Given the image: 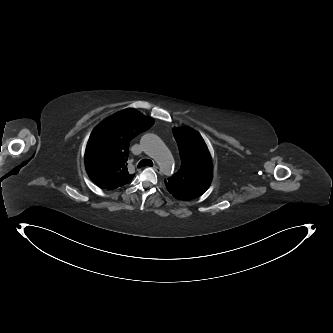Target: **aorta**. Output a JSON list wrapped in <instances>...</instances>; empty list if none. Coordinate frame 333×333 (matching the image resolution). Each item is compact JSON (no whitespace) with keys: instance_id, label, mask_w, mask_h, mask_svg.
Here are the masks:
<instances>
[{"instance_id":"1","label":"aorta","mask_w":333,"mask_h":333,"mask_svg":"<svg viewBox=\"0 0 333 333\" xmlns=\"http://www.w3.org/2000/svg\"><path fill=\"white\" fill-rule=\"evenodd\" d=\"M140 144L145 153L157 163L164 174H170L172 172L174 158L161 138L155 134H145L141 138Z\"/></svg>"}]
</instances>
